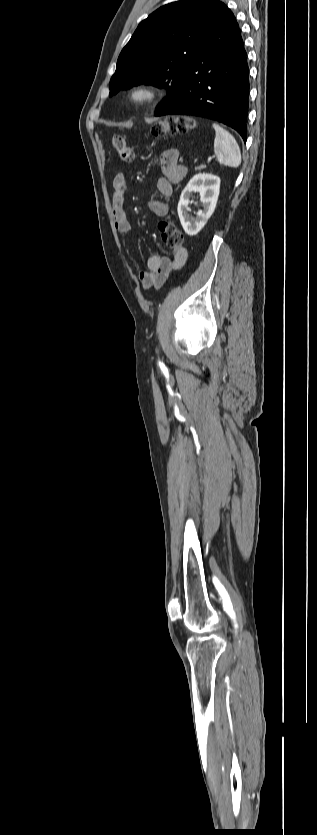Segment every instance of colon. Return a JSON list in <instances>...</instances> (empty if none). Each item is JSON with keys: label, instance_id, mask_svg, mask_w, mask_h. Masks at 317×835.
Segmentation results:
<instances>
[{"label": "colon", "instance_id": "5ec220e1", "mask_svg": "<svg viewBox=\"0 0 317 835\" xmlns=\"http://www.w3.org/2000/svg\"><path fill=\"white\" fill-rule=\"evenodd\" d=\"M196 129V123L189 117H172L164 119L151 128V135L154 137H165L180 133H187ZM112 146L123 162H131L134 153L128 145L126 138L122 135H115L112 138ZM158 230L164 244L171 249H180L183 244V235L177 228L175 222L163 219L158 223Z\"/></svg>", "mask_w": 317, "mask_h": 835}]
</instances>
